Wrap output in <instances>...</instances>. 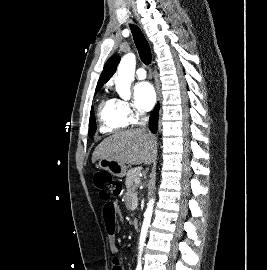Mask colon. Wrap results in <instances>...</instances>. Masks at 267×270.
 <instances>
[{
    "mask_svg": "<svg viewBox=\"0 0 267 270\" xmlns=\"http://www.w3.org/2000/svg\"><path fill=\"white\" fill-rule=\"evenodd\" d=\"M94 185L98 189L101 199L104 201L118 196L122 191L121 184L106 172L95 174Z\"/></svg>",
    "mask_w": 267,
    "mask_h": 270,
    "instance_id": "1",
    "label": "colon"
}]
</instances>
